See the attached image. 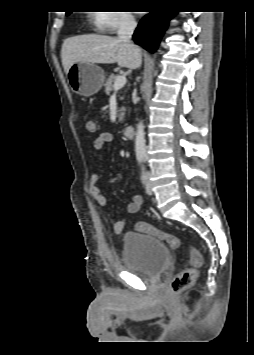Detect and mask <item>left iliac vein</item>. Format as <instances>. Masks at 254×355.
<instances>
[{
	"mask_svg": "<svg viewBox=\"0 0 254 355\" xmlns=\"http://www.w3.org/2000/svg\"><path fill=\"white\" fill-rule=\"evenodd\" d=\"M144 183H145V186H146V193L148 195H152L153 191H152V187H151V184H150V181H149V174L148 173L145 176Z\"/></svg>",
	"mask_w": 254,
	"mask_h": 355,
	"instance_id": "1",
	"label": "left iliac vein"
}]
</instances>
